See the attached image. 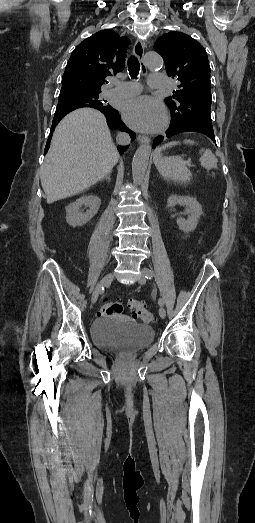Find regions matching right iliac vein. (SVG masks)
Masks as SVG:
<instances>
[{
    "mask_svg": "<svg viewBox=\"0 0 255 523\" xmlns=\"http://www.w3.org/2000/svg\"><path fill=\"white\" fill-rule=\"evenodd\" d=\"M113 278H114V274L109 273L100 281V283L96 287L95 291L93 292L92 299H91L92 303H95L97 301L99 294L103 290L102 288L104 286H107L108 284H110L112 282Z\"/></svg>",
    "mask_w": 255,
    "mask_h": 523,
    "instance_id": "obj_1",
    "label": "right iliac vein"
}]
</instances>
